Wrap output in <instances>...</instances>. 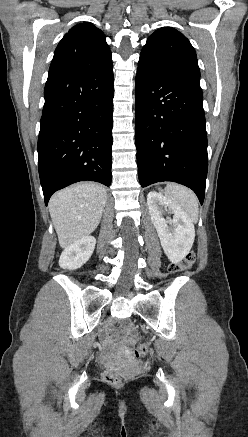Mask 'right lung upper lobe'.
<instances>
[{
	"label": "right lung upper lobe",
	"mask_w": 248,
	"mask_h": 437,
	"mask_svg": "<svg viewBox=\"0 0 248 437\" xmlns=\"http://www.w3.org/2000/svg\"><path fill=\"white\" fill-rule=\"evenodd\" d=\"M112 63L104 33L91 23L74 26L58 44L49 68L55 73H88Z\"/></svg>",
	"instance_id": "obj_1"
}]
</instances>
